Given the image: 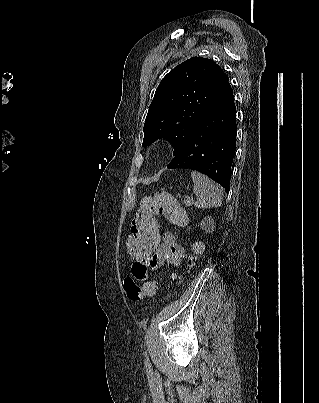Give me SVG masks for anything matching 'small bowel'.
<instances>
[{
  "instance_id": "obj_1",
  "label": "small bowel",
  "mask_w": 319,
  "mask_h": 403,
  "mask_svg": "<svg viewBox=\"0 0 319 403\" xmlns=\"http://www.w3.org/2000/svg\"><path fill=\"white\" fill-rule=\"evenodd\" d=\"M169 235V237H167ZM185 259V250L179 245L174 235L171 232H164L158 247H154L152 251V257L139 258L136 264L129 265V277L130 283L143 282L147 276H149L150 271H154L162 266L165 262H168L181 271L183 269V262ZM184 273V272H183ZM183 275H179L177 278L182 279Z\"/></svg>"
}]
</instances>
